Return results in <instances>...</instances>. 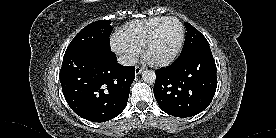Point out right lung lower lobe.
Instances as JSON below:
<instances>
[{
	"label": "right lung lower lobe",
	"mask_w": 276,
	"mask_h": 138,
	"mask_svg": "<svg viewBox=\"0 0 276 138\" xmlns=\"http://www.w3.org/2000/svg\"><path fill=\"white\" fill-rule=\"evenodd\" d=\"M134 66L117 62L111 49L84 47L65 53L60 82L70 108L92 122L118 116L128 102Z\"/></svg>",
	"instance_id": "right-lung-lower-lobe-1"
}]
</instances>
